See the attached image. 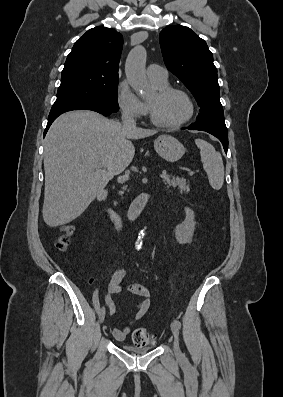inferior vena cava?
Here are the masks:
<instances>
[{
	"label": "inferior vena cava",
	"mask_w": 283,
	"mask_h": 397,
	"mask_svg": "<svg viewBox=\"0 0 283 397\" xmlns=\"http://www.w3.org/2000/svg\"><path fill=\"white\" fill-rule=\"evenodd\" d=\"M122 125L126 129H133L136 127V122L133 115L128 111L122 112Z\"/></svg>",
	"instance_id": "obj_1"
}]
</instances>
